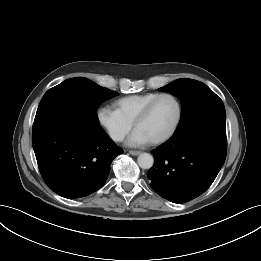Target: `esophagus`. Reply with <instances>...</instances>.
<instances>
[{
  "mask_svg": "<svg viewBox=\"0 0 261 261\" xmlns=\"http://www.w3.org/2000/svg\"><path fill=\"white\" fill-rule=\"evenodd\" d=\"M129 153H130L131 155H133V156H137V155H139L141 152H140V151L131 150V151H129Z\"/></svg>",
  "mask_w": 261,
  "mask_h": 261,
  "instance_id": "esophagus-1",
  "label": "esophagus"
}]
</instances>
